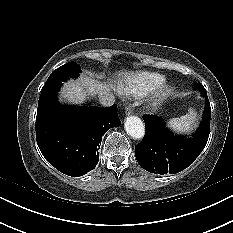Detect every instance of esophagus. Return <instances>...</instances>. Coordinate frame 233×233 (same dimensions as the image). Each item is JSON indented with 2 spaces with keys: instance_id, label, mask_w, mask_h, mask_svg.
I'll use <instances>...</instances> for the list:
<instances>
[{
  "instance_id": "34e87169",
  "label": "esophagus",
  "mask_w": 233,
  "mask_h": 233,
  "mask_svg": "<svg viewBox=\"0 0 233 233\" xmlns=\"http://www.w3.org/2000/svg\"><path fill=\"white\" fill-rule=\"evenodd\" d=\"M126 115H131L133 113V109L131 106H126L125 108Z\"/></svg>"
}]
</instances>
